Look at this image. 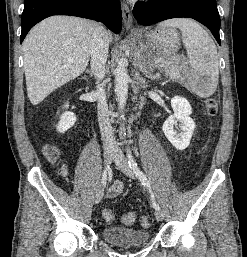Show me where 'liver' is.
<instances>
[{"label":"liver","instance_id":"6515ba94","mask_svg":"<svg viewBox=\"0 0 247 257\" xmlns=\"http://www.w3.org/2000/svg\"><path fill=\"white\" fill-rule=\"evenodd\" d=\"M96 26L87 19L58 15L33 27L23 43L27 94L33 105L83 73ZM108 37L112 42V34Z\"/></svg>","mask_w":247,"mask_h":257}]
</instances>
